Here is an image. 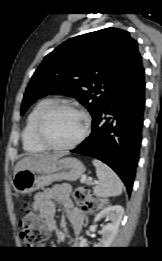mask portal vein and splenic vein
Wrapping results in <instances>:
<instances>
[{"label":"portal vein and splenic vein","instance_id":"obj_1","mask_svg":"<svg viewBox=\"0 0 162 261\" xmlns=\"http://www.w3.org/2000/svg\"><path fill=\"white\" fill-rule=\"evenodd\" d=\"M86 180H87V176H86V175L82 176L81 182L83 183V182H85ZM88 180L90 181V183H92V179H88Z\"/></svg>","mask_w":162,"mask_h":261}]
</instances>
